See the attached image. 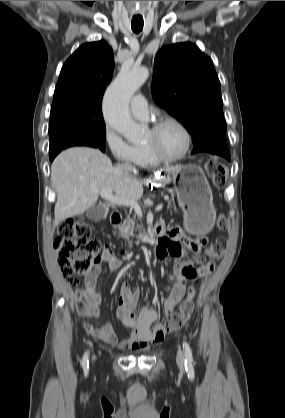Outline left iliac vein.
<instances>
[{"label":"left iliac vein","mask_w":285,"mask_h":418,"mask_svg":"<svg viewBox=\"0 0 285 418\" xmlns=\"http://www.w3.org/2000/svg\"><path fill=\"white\" fill-rule=\"evenodd\" d=\"M184 353L182 350L178 349L176 355V363L180 370H184L185 362H184Z\"/></svg>","instance_id":"left-iliac-vein-1"}]
</instances>
